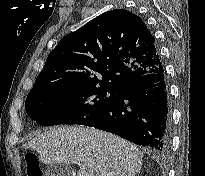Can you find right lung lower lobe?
Returning <instances> with one entry per match:
<instances>
[{
  "mask_svg": "<svg viewBox=\"0 0 205 176\" xmlns=\"http://www.w3.org/2000/svg\"><path fill=\"white\" fill-rule=\"evenodd\" d=\"M85 125L166 153L171 146V116L164 68L121 87L101 113Z\"/></svg>",
  "mask_w": 205,
  "mask_h": 176,
  "instance_id": "1",
  "label": "right lung lower lobe"
}]
</instances>
